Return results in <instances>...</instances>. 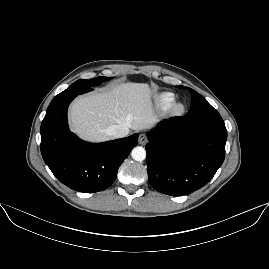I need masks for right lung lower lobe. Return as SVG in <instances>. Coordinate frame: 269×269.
Wrapping results in <instances>:
<instances>
[{"instance_id": "obj_1", "label": "right lung lower lobe", "mask_w": 269, "mask_h": 269, "mask_svg": "<svg viewBox=\"0 0 269 269\" xmlns=\"http://www.w3.org/2000/svg\"><path fill=\"white\" fill-rule=\"evenodd\" d=\"M85 92L69 87L51 101L40 129L41 153L59 181L73 190L93 193L112 185L119 166L137 145L138 134L99 144L77 138L69 131L67 109L77 95Z\"/></svg>"}]
</instances>
